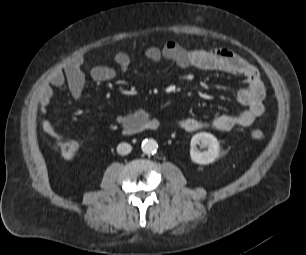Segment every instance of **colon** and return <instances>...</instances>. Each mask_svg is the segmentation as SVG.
<instances>
[{
  "label": "colon",
  "mask_w": 306,
  "mask_h": 255,
  "mask_svg": "<svg viewBox=\"0 0 306 255\" xmlns=\"http://www.w3.org/2000/svg\"><path fill=\"white\" fill-rule=\"evenodd\" d=\"M251 136L255 140H261L264 138V132L259 128H255L251 131ZM58 148L61 155L69 159L77 154L79 144L75 140H61L58 142Z\"/></svg>",
  "instance_id": "1"
}]
</instances>
